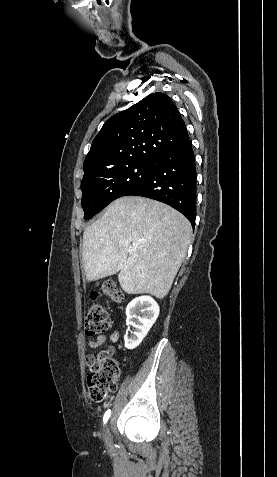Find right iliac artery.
<instances>
[{"instance_id":"obj_1","label":"right iliac artery","mask_w":277,"mask_h":477,"mask_svg":"<svg viewBox=\"0 0 277 477\" xmlns=\"http://www.w3.org/2000/svg\"><path fill=\"white\" fill-rule=\"evenodd\" d=\"M111 410H107L103 417V422L106 423L110 417Z\"/></svg>"}]
</instances>
